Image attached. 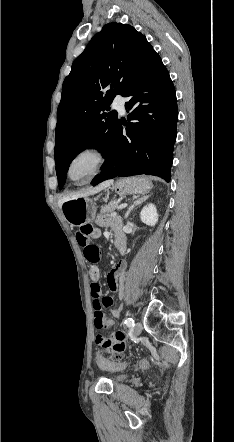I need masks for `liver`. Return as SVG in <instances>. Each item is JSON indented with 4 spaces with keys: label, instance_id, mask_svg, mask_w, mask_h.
Masks as SVG:
<instances>
[{
    "label": "liver",
    "instance_id": "6515ba94",
    "mask_svg": "<svg viewBox=\"0 0 234 442\" xmlns=\"http://www.w3.org/2000/svg\"><path fill=\"white\" fill-rule=\"evenodd\" d=\"M112 184H113V180H107V181H104V182L100 183L98 186L90 188V189H88V190H86L84 192L73 194V195L61 198L59 200V205L61 206L64 202L72 200V199H76V198H80V197H87L89 195L96 194V193H98V192L108 188Z\"/></svg>",
    "mask_w": 234,
    "mask_h": 442
}]
</instances>
